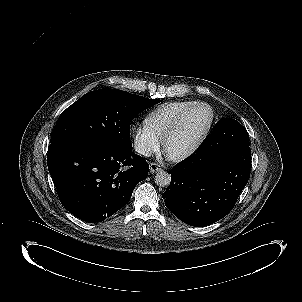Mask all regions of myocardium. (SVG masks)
Segmentation results:
<instances>
[{
    "label": "myocardium",
    "mask_w": 302,
    "mask_h": 302,
    "mask_svg": "<svg viewBox=\"0 0 302 302\" xmlns=\"http://www.w3.org/2000/svg\"><path fill=\"white\" fill-rule=\"evenodd\" d=\"M198 109L204 110L206 112L207 117H206V122H205L204 128L201 131L199 137L196 139V141L192 144L191 147H189L187 150H185L183 152L177 153L179 158L186 157V156L192 154L193 152H195L198 149V147L201 145L203 140L205 139V137L208 134V131L211 127L212 120H213V112H212L211 108L208 105L203 104V103H198V104L191 105L189 108H187L184 112H182L178 116V118L175 120L173 125L170 127L168 133L164 137L163 144L167 148V147H169V140H170L171 136L173 135L175 130L178 128V126L180 125L182 120L188 114H190L191 112H193L195 110H198Z\"/></svg>",
    "instance_id": "obj_1"
}]
</instances>
